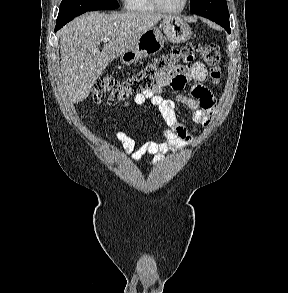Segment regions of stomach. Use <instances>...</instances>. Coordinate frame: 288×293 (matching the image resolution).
Returning a JSON list of instances; mask_svg holds the SVG:
<instances>
[{
    "label": "stomach",
    "mask_w": 288,
    "mask_h": 293,
    "mask_svg": "<svg viewBox=\"0 0 288 293\" xmlns=\"http://www.w3.org/2000/svg\"><path fill=\"white\" fill-rule=\"evenodd\" d=\"M191 35L192 30L183 19L176 16H167L163 18L159 27H152L147 30L129 49L123 52L120 61L124 65H131L139 59L158 53L166 40L181 43L189 40Z\"/></svg>",
    "instance_id": "0dacf381"
}]
</instances>
